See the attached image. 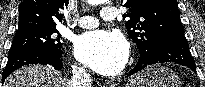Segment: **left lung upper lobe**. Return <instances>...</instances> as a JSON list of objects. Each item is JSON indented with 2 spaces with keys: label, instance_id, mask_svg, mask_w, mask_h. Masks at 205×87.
Wrapping results in <instances>:
<instances>
[{
  "label": "left lung upper lobe",
  "instance_id": "obj_1",
  "mask_svg": "<svg viewBox=\"0 0 205 87\" xmlns=\"http://www.w3.org/2000/svg\"><path fill=\"white\" fill-rule=\"evenodd\" d=\"M129 8L128 34L139 48L140 57L155 52L160 39L175 30H184L176 0H122Z\"/></svg>",
  "mask_w": 205,
  "mask_h": 87
}]
</instances>
